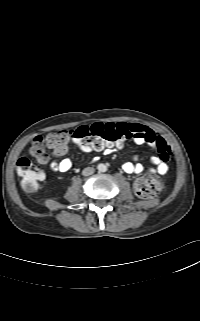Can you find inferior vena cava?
<instances>
[{
	"instance_id": "obj_1",
	"label": "inferior vena cava",
	"mask_w": 200,
	"mask_h": 321,
	"mask_svg": "<svg viewBox=\"0 0 200 321\" xmlns=\"http://www.w3.org/2000/svg\"><path fill=\"white\" fill-rule=\"evenodd\" d=\"M94 168L93 167H87L82 171V175L83 176H89L92 175L94 173Z\"/></svg>"
}]
</instances>
